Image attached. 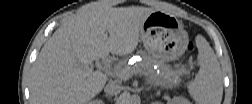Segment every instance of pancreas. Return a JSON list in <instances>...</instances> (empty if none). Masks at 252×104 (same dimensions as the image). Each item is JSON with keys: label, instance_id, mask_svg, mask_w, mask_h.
<instances>
[{"label": "pancreas", "instance_id": "cf45deb5", "mask_svg": "<svg viewBox=\"0 0 252 104\" xmlns=\"http://www.w3.org/2000/svg\"><path fill=\"white\" fill-rule=\"evenodd\" d=\"M155 63V60L148 58L147 56H142L141 61L137 62L133 66L126 67L125 62H121L117 65L116 68L129 69L132 70L135 74L146 75L152 83L160 86H176L180 81L181 73L179 71L172 70L168 65L163 63H160L159 73H157V71L153 68ZM118 78L126 80L125 78H122L120 76H118Z\"/></svg>", "mask_w": 252, "mask_h": 104}]
</instances>
